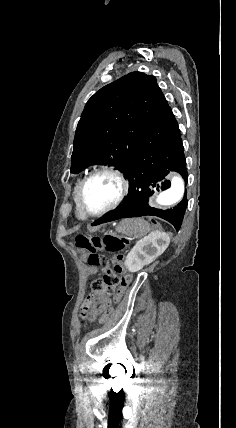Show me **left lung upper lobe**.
Listing matches in <instances>:
<instances>
[{"instance_id":"left-lung-upper-lobe-1","label":"left lung upper lobe","mask_w":236,"mask_h":428,"mask_svg":"<svg viewBox=\"0 0 236 428\" xmlns=\"http://www.w3.org/2000/svg\"><path fill=\"white\" fill-rule=\"evenodd\" d=\"M168 107L152 75L131 72L104 86L82 112L70 172L108 164L124 173L141 138Z\"/></svg>"}]
</instances>
